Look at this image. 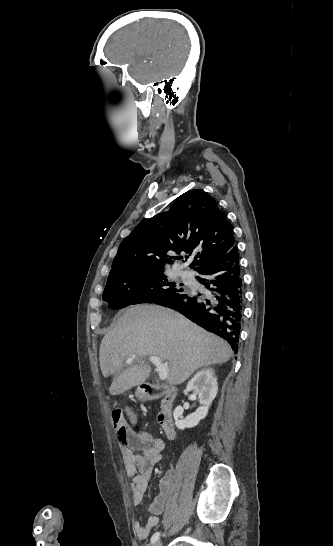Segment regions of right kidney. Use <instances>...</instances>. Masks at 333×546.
Wrapping results in <instances>:
<instances>
[{
  "label": "right kidney",
  "instance_id": "ca27d5eb",
  "mask_svg": "<svg viewBox=\"0 0 333 546\" xmlns=\"http://www.w3.org/2000/svg\"><path fill=\"white\" fill-rule=\"evenodd\" d=\"M217 389V379L214 376L212 368H205L197 372L188 382L186 390L197 394L202 406L184 419H179L183 414L184 408L177 406L173 412L176 427L184 430L185 428H192L198 425L200 420L206 417L208 409L217 395Z\"/></svg>",
  "mask_w": 333,
  "mask_h": 546
}]
</instances>
